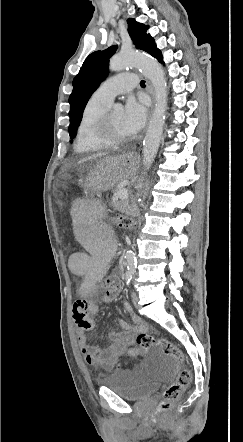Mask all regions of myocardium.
<instances>
[{
    "instance_id": "obj_1",
    "label": "myocardium",
    "mask_w": 243,
    "mask_h": 442,
    "mask_svg": "<svg viewBox=\"0 0 243 442\" xmlns=\"http://www.w3.org/2000/svg\"><path fill=\"white\" fill-rule=\"evenodd\" d=\"M97 140L108 147H115L122 145L130 140V136L127 137H114L111 134V124H110V112L106 111L102 117L99 119L96 130H95Z\"/></svg>"
}]
</instances>
